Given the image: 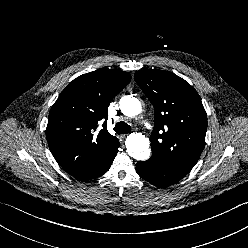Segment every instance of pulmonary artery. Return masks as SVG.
<instances>
[{
  "label": "pulmonary artery",
  "mask_w": 248,
  "mask_h": 248,
  "mask_svg": "<svg viewBox=\"0 0 248 248\" xmlns=\"http://www.w3.org/2000/svg\"><path fill=\"white\" fill-rule=\"evenodd\" d=\"M145 124H146L147 127H149V126H148V123H145Z\"/></svg>",
  "instance_id": "e3ab8cb5"
}]
</instances>
